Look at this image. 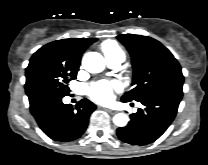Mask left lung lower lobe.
Returning a JSON list of instances; mask_svg holds the SVG:
<instances>
[{"mask_svg":"<svg viewBox=\"0 0 208 165\" xmlns=\"http://www.w3.org/2000/svg\"><path fill=\"white\" fill-rule=\"evenodd\" d=\"M182 95L178 91H160L139 101L144 107L130 115L128 125L117 129V136L131 145L154 142L175 118Z\"/></svg>","mask_w":208,"mask_h":165,"instance_id":"obj_1","label":"left lung lower lobe"}]
</instances>
